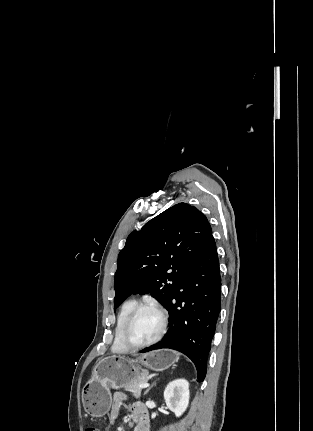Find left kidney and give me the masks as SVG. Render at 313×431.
Returning a JSON list of instances; mask_svg holds the SVG:
<instances>
[{
  "mask_svg": "<svg viewBox=\"0 0 313 431\" xmlns=\"http://www.w3.org/2000/svg\"><path fill=\"white\" fill-rule=\"evenodd\" d=\"M189 398V383L185 379H176L165 388V403L176 417H180L186 411Z\"/></svg>",
  "mask_w": 313,
  "mask_h": 431,
  "instance_id": "obj_1",
  "label": "left kidney"
}]
</instances>
